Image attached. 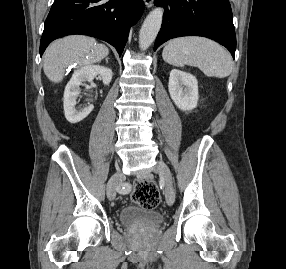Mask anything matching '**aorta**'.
I'll return each mask as SVG.
<instances>
[{
    "instance_id": "762f6f07",
    "label": "aorta",
    "mask_w": 286,
    "mask_h": 269,
    "mask_svg": "<svg viewBox=\"0 0 286 269\" xmlns=\"http://www.w3.org/2000/svg\"><path fill=\"white\" fill-rule=\"evenodd\" d=\"M163 13V9L157 7L144 20L139 32V47L141 50H146L155 40L161 28Z\"/></svg>"
}]
</instances>
